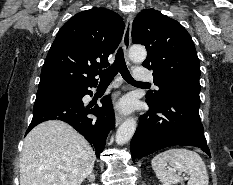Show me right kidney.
I'll return each mask as SVG.
<instances>
[{"mask_svg":"<svg viewBox=\"0 0 233 185\" xmlns=\"http://www.w3.org/2000/svg\"><path fill=\"white\" fill-rule=\"evenodd\" d=\"M91 185H98V184L92 183Z\"/></svg>","mask_w":233,"mask_h":185,"instance_id":"ca27d5eb","label":"right kidney"}]
</instances>
